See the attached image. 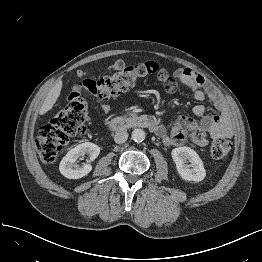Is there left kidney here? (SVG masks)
<instances>
[{"label": "left kidney", "mask_w": 262, "mask_h": 262, "mask_svg": "<svg viewBox=\"0 0 262 262\" xmlns=\"http://www.w3.org/2000/svg\"><path fill=\"white\" fill-rule=\"evenodd\" d=\"M180 177L186 181L200 182L206 176L204 165L199 155L190 147H178L171 152ZM189 161L191 164H185Z\"/></svg>", "instance_id": "left-kidney-1"}]
</instances>
